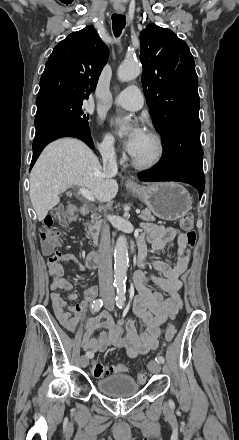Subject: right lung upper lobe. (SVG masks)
Masks as SVG:
<instances>
[{"label":"right lung upper lobe","mask_w":239,"mask_h":440,"mask_svg":"<svg viewBox=\"0 0 239 440\" xmlns=\"http://www.w3.org/2000/svg\"><path fill=\"white\" fill-rule=\"evenodd\" d=\"M108 56L109 49L93 26L69 34L46 62L36 102L54 96L88 99Z\"/></svg>","instance_id":"obj_1"}]
</instances>
